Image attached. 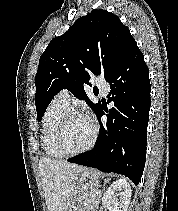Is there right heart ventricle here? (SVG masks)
Here are the masks:
<instances>
[{"instance_id": "obj_1", "label": "right heart ventricle", "mask_w": 178, "mask_h": 211, "mask_svg": "<svg viewBox=\"0 0 178 211\" xmlns=\"http://www.w3.org/2000/svg\"><path fill=\"white\" fill-rule=\"evenodd\" d=\"M69 105L55 97L48 105L42 120V147L47 156L51 158L63 157L56 146V136L64 114Z\"/></svg>"}]
</instances>
